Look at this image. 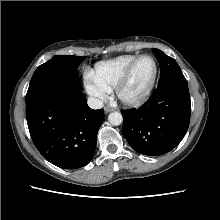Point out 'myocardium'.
Segmentation results:
<instances>
[{"label":"myocardium","mask_w":220,"mask_h":220,"mask_svg":"<svg viewBox=\"0 0 220 220\" xmlns=\"http://www.w3.org/2000/svg\"><path fill=\"white\" fill-rule=\"evenodd\" d=\"M144 58H150L154 62L155 72H154L153 79H152L151 83L149 84V86L147 87V89L140 96L133 97V98L125 97L123 95V90L126 87V85L129 83L137 64ZM158 74H159L158 62L153 56L148 55V54L138 56L133 61V63L130 65V67L128 68V70L124 74V76L120 79V81L114 87L115 95H116L117 99L119 101H121L123 104L128 105V106H139V105L143 104L144 102H146L148 100L151 93L153 92V89H154L155 84L157 82Z\"/></svg>","instance_id":"obj_1"}]
</instances>
